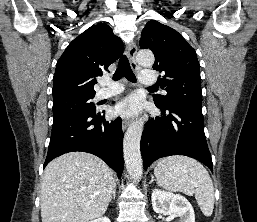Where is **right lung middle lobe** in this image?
Returning a JSON list of instances; mask_svg holds the SVG:
<instances>
[{"mask_svg":"<svg viewBox=\"0 0 257 222\" xmlns=\"http://www.w3.org/2000/svg\"><path fill=\"white\" fill-rule=\"evenodd\" d=\"M94 95L75 97L53 102V122L73 115H92L98 113L91 102Z\"/></svg>","mask_w":257,"mask_h":222,"instance_id":"dd1d6c3e","label":"right lung middle lobe"}]
</instances>
